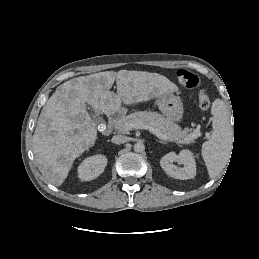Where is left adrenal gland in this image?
Returning a JSON list of instances; mask_svg holds the SVG:
<instances>
[{
    "mask_svg": "<svg viewBox=\"0 0 259 259\" xmlns=\"http://www.w3.org/2000/svg\"><path fill=\"white\" fill-rule=\"evenodd\" d=\"M159 143H161V144H166V142H164V141H158Z\"/></svg>",
    "mask_w": 259,
    "mask_h": 259,
    "instance_id": "obj_1",
    "label": "left adrenal gland"
}]
</instances>
